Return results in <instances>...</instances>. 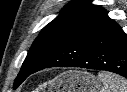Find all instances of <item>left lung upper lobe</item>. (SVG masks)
Here are the masks:
<instances>
[{"mask_svg": "<svg viewBox=\"0 0 127 92\" xmlns=\"http://www.w3.org/2000/svg\"><path fill=\"white\" fill-rule=\"evenodd\" d=\"M106 17L107 12L103 8L88 0H75L67 4L61 14L46 25L33 42L15 79L14 89L59 47Z\"/></svg>", "mask_w": 127, "mask_h": 92, "instance_id": "1", "label": "left lung upper lobe"}]
</instances>
